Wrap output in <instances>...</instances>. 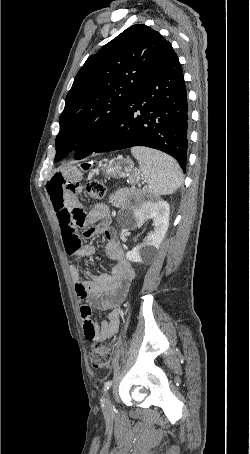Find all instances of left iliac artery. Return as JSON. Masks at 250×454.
Segmentation results:
<instances>
[{"mask_svg":"<svg viewBox=\"0 0 250 454\" xmlns=\"http://www.w3.org/2000/svg\"><path fill=\"white\" fill-rule=\"evenodd\" d=\"M112 385V380H109L107 381L105 384H104V391H107ZM101 401H103V399H101Z\"/></svg>","mask_w":250,"mask_h":454,"instance_id":"obj_1","label":"left iliac artery"}]
</instances>
